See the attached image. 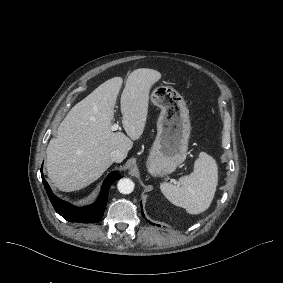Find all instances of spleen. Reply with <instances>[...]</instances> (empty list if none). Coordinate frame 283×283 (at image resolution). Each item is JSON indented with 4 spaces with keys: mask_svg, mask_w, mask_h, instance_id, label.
<instances>
[{
    "mask_svg": "<svg viewBox=\"0 0 283 283\" xmlns=\"http://www.w3.org/2000/svg\"><path fill=\"white\" fill-rule=\"evenodd\" d=\"M218 175L219 166L215 158L200 152L194 172L183 179L186 187L163 183L160 188L172 204L185 208L191 215H198L211 206L218 186Z\"/></svg>",
    "mask_w": 283,
    "mask_h": 283,
    "instance_id": "3e777b00",
    "label": "spleen"
}]
</instances>
